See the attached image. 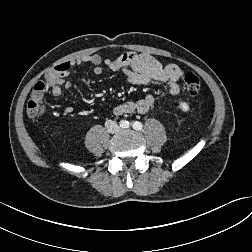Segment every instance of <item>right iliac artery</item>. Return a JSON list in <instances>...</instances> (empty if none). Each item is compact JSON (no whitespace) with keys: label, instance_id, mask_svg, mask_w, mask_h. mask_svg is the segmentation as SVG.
<instances>
[{"label":"right iliac artery","instance_id":"right-iliac-artery-1","mask_svg":"<svg viewBox=\"0 0 252 252\" xmlns=\"http://www.w3.org/2000/svg\"><path fill=\"white\" fill-rule=\"evenodd\" d=\"M129 126V122L128 121H123L122 122V127L127 128Z\"/></svg>","mask_w":252,"mask_h":252}]
</instances>
